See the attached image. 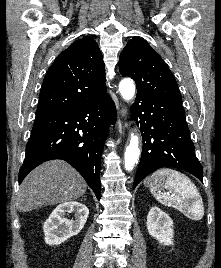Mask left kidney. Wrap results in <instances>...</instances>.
<instances>
[{"instance_id":"5707ae66","label":"left kidney","mask_w":221,"mask_h":268,"mask_svg":"<svg viewBox=\"0 0 221 268\" xmlns=\"http://www.w3.org/2000/svg\"><path fill=\"white\" fill-rule=\"evenodd\" d=\"M149 234L162 245L173 244V221L158 207H152L147 216Z\"/></svg>"}]
</instances>
